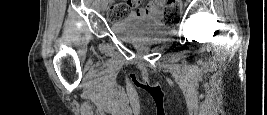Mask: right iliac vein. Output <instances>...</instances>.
<instances>
[{"mask_svg": "<svg viewBox=\"0 0 267 115\" xmlns=\"http://www.w3.org/2000/svg\"><path fill=\"white\" fill-rule=\"evenodd\" d=\"M101 10L104 11L107 8V4L105 1L101 2L100 4Z\"/></svg>", "mask_w": 267, "mask_h": 115, "instance_id": "1", "label": "right iliac vein"}]
</instances>
